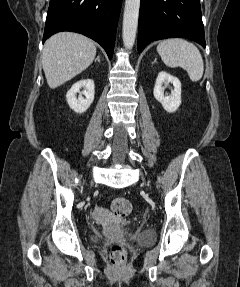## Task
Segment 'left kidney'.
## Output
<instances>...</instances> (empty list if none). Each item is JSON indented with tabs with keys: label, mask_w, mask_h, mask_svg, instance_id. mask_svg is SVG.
<instances>
[{
	"label": "left kidney",
	"mask_w": 240,
	"mask_h": 287,
	"mask_svg": "<svg viewBox=\"0 0 240 287\" xmlns=\"http://www.w3.org/2000/svg\"><path fill=\"white\" fill-rule=\"evenodd\" d=\"M169 83L173 84L174 91L168 96L164 95V88L169 85ZM153 94L155 99L162 104L165 111L173 113L181 104V82L177 77L165 71H161L157 76Z\"/></svg>",
	"instance_id": "left-kidney-1"
}]
</instances>
